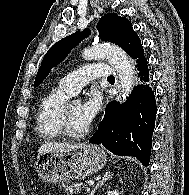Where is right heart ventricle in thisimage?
Masks as SVG:
<instances>
[{"mask_svg":"<svg viewBox=\"0 0 189 195\" xmlns=\"http://www.w3.org/2000/svg\"><path fill=\"white\" fill-rule=\"evenodd\" d=\"M71 95L59 85L42 99L36 113V133L41 139L55 140L62 136L58 116Z\"/></svg>","mask_w":189,"mask_h":195,"instance_id":"right-heart-ventricle-1","label":"right heart ventricle"}]
</instances>
